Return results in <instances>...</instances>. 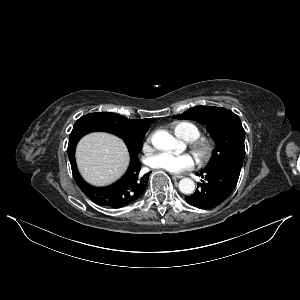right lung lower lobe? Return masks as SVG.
<instances>
[{
	"label": "right lung lower lobe",
	"mask_w": 300,
	"mask_h": 300,
	"mask_svg": "<svg viewBox=\"0 0 300 300\" xmlns=\"http://www.w3.org/2000/svg\"><path fill=\"white\" fill-rule=\"evenodd\" d=\"M75 149L68 152L74 179L81 191L99 206L121 208L136 201L145 192L151 172L140 174L141 164L137 155H131L125 175L114 184L97 188L87 184L80 176L75 163Z\"/></svg>",
	"instance_id": "obj_1"
}]
</instances>
